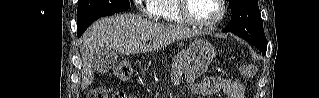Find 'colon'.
Here are the masks:
<instances>
[{
    "label": "colon",
    "mask_w": 319,
    "mask_h": 98,
    "mask_svg": "<svg viewBox=\"0 0 319 98\" xmlns=\"http://www.w3.org/2000/svg\"><path fill=\"white\" fill-rule=\"evenodd\" d=\"M131 75V68L128 64L122 63L115 69V77L118 80L125 81ZM128 96L124 93L117 92L114 94V98H127ZM88 98H107V93L102 88H95L88 94Z\"/></svg>",
    "instance_id": "colon-1"
}]
</instances>
